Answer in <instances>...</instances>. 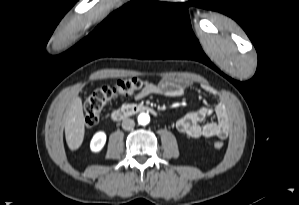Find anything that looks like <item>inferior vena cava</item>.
Returning a JSON list of instances; mask_svg holds the SVG:
<instances>
[{
    "mask_svg": "<svg viewBox=\"0 0 299 205\" xmlns=\"http://www.w3.org/2000/svg\"><path fill=\"white\" fill-rule=\"evenodd\" d=\"M135 126V122L133 119H124L122 121V128L124 130H132Z\"/></svg>",
    "mask_w": 299,
    "mask_h": 205,
    "instance_id": "602c4592",
    "label": "inferior vena cava"
}]
</instances>
